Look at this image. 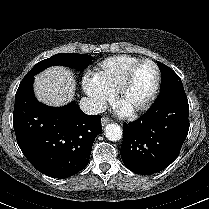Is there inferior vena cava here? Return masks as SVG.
<instances>
[{
    "label": "inferior vena cava",
    "instance_id": "602c4592",
    "mask_svg": "<svg viewBox=\"0 0 209 209\" xmlns=\"http://www.w3.org/2000/svg\"><path fill=\"white\" fill-rule=\"evenodd\" d=\"M79 106L88 115L101 114L106 110L105 106L99 100L88 97L81 98Z\"/></svg>",
    "mask_w": 209,
    "mask_h": 209
}]
</instances>
